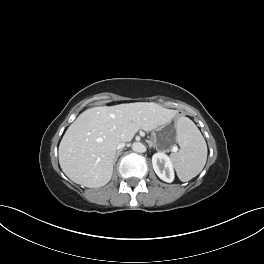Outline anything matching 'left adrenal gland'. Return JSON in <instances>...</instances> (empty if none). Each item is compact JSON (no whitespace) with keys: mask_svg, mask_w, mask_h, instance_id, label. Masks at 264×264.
<instances>
[{"mask_svg":"<svg viewBox=\"0 0 264 264\" xmlns=\"http://www.w3.org/2000/svg\"><path fill=\"white\" fill-rule=\"evenodd\" d=\"M148 143H149V148L153 147V148H156V150H157V147L154 143H152L151 141H149Z\"/></svg>","mask_w":264,"mask_h":264,"instance_id":"obj_1","label":"left adrenal gland"}]
</instances>
